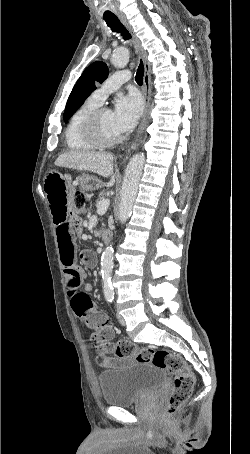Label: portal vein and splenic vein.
Masks as SVG:
<instances>
[{"label": "portal vein and splenic vein", "mask_w": 250, "mask_h": 454, "mask_svg": "<svg viewBox=\"0 0 250 454\" xmlns=\"http://www.w3.org/2000/svg\"><path fill=\"white\" fill-rule=\"evenodd\" d=\"M110 205L109 199H102L100 202L97 203V213L102 214L105 213Z\"/></svg>", "instance_id": "18ae733b"}]
</instances>
